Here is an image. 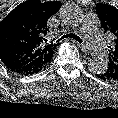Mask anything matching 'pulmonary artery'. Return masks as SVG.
I'll return each instance as SVG.
<instances>
[{"mask_svg":"<svg viewBox=\"0 0 118 118\" xmlns=\"http://www.w3.org/2000/svg\"><path fill=\"white\" fill-rule=\"evenodd\" d=\"M83 31L87 39L88 46L99 56L107 55V48L98 31V19L95 14H87L83 20Z\"/></svg>","mask_w":118,"mask_h":118,"instance_id":"1","label":"pulmonary artery"}]
</instances>
